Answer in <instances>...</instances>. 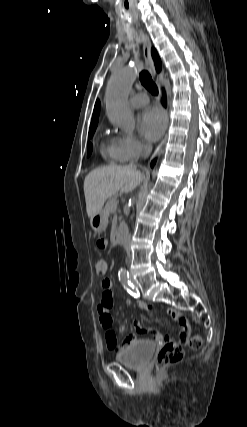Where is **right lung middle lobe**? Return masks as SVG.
Wrapping results in <instances>:
<instances>
[{"mask_svg":"<svg viewBox=\"0 0 247 427\" xmlns=\"http://www.w3.org/2000/svg\"><path fill=\"white\" fill-rule=\"evenodd\" d=\"M97 126H91L90 130H89V138H91L96 130ZM92 152V144L90 142H88V156L91 154Z\"/></svg>","mask_w":247,"mask_h":427,"instance_id":"1","label":"right lung middle lobe"}]
</instances>
